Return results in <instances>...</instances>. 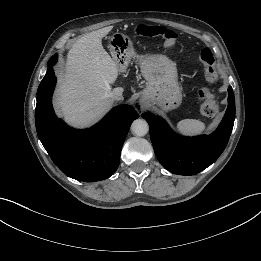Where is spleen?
I'll list each match as a JSON object with an SVG mask.
<instances>
[{"label":"spleen","mask_w":261,"mask_h":261,"mask_svg":"<svg viewBox=\"0 0 261 261\" xmlns=\"http://www.w3.org/2000/svg\"><path fill=\"white\" fill-rule=\"evenodd\" d=\"M177 129L185 135H197L205 130V124L196 119H184L177 123Z\"/></svg>","instance_id":"1"}]
</instances>
